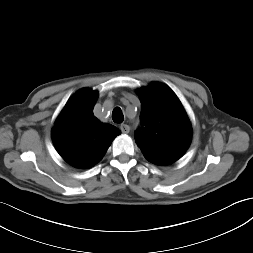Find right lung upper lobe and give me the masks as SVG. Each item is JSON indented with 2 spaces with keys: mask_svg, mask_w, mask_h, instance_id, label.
<instances>
[{
  "mask_svg": "<svg viewBox=\"0 0 253 253\" xmlns=\"http://www.w3.org/2000/svg\"><path fill=\"white\" fill-rule=\"evenodd\" d=\"M98 93L81 89L67 102L55 121L52 138L59 154L76 168H90L105 155L112 140L120 134L113 125L93 115Z\"/></svg>",
  "mask_w": 253,
  "mask_h": 253,
  "instance_id": "obj_1",
  "label": "right lung upper lobe"
}]
</instances>
